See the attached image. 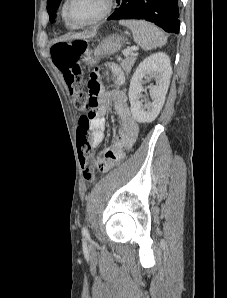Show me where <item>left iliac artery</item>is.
Masks as SVG:
<instances>
[{
    "label": "left iliac artery",
    "instance_id": "obj_1",
    "mask_svg": "<svg viewBox=\"0 0 227 298\" xmlns=\"http://www.w3.org/2000/svg\"><path fill=\"white\" fill-rule=\"evenodd\" d=\"M82 235L85 237V238H89V232H88V229L86 226H84L82 228Z\"/></svg>",
    "mask_w": 227,
    "mask_h": 298
}]
</instances>
